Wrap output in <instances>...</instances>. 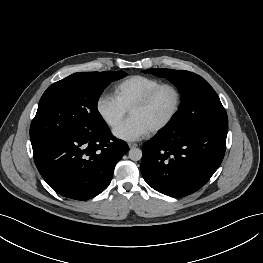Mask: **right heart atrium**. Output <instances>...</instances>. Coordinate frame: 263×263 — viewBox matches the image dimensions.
Masks as SVG:
<instances>
[{
  "label": "right heart atrium",
  "instance_id": "right-heart-atrium-1",
  "mask_svg": "<svg viewBox=\"0 0 263 263\" xmlns=\"http://www.w3.org/2000/svg\"><path fill=\"white\" fill-rule=\"evenodd\" d=\"M96 111L102 121L114 128L120 124L127 110L111 94H101L96 101Z\"/></svg>",
  "mask_w": 263,
  "mask_h": 263
}]
</instances>
